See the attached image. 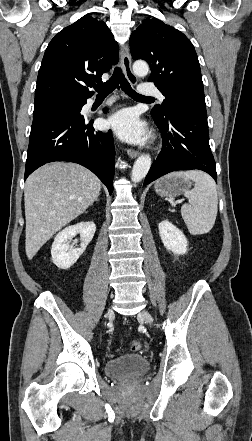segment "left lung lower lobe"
Instances as JSON below:
<instances>
[{"instance_id": "1", "label": "left lung lower lobe", "mask_w": 252, "mask_h": 441, "mask_svg": "<svg viewBox=\"0 0 252 441\" xmlns=\"http://www.w3.org/2000/svg\"><path fill=\"white\" fill-rule=\"evenodd\" d=\"M154 121L163 134V149L152 164L144 185L169 172L190 169L205 171L217 181L206 112L182 105L173 110L166 120Z\"/></svg>"}]
</instances>
